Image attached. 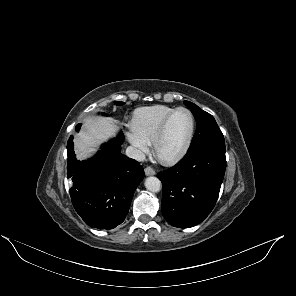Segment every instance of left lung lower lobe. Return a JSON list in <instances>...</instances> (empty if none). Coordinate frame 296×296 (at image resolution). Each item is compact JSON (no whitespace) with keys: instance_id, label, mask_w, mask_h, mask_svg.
I'll list each match as a JSON object with an SVG mask.
<instances>
[{"instance_id":"obj_1","label":"left lung lower lobe","mask_w":296,"mask_h":296,"mask_svg":"<svg viewBox=\"0 0 296 296\" xmlns=\"http://www.w3.org/2000/svg\"><path fill=\"white\" fill-rule=\"evenodd\" d=\"M225 142L187 152L174 167L158 173L162 182V213L175 227L202 222L218 199L226 168Z\"/></svg>"}]
</instances>
